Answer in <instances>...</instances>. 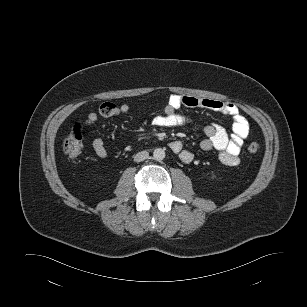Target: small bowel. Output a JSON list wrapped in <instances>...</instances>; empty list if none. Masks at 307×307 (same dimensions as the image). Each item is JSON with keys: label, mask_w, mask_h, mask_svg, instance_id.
<instances>
[{"label": "small bowel", "mask_w": 307, "mask_h": 307, "mask_svg": "<svg viewBox=\"0 0 307 307\" xmlns=\"http://www.w3.org/2000/svg\"><path fill=\"white\" fill-rule=\"evenodd\" d=\"M183 106L190 108L202 107L220 112L232 118L233 134L231 136H229L226 130L220 125H207L204 128L206 137L201 141L200 147L205 151L212 149L217 150L221 162L227 166L238 165L241 147L250 132L249 122L245 116L240 113L239 108L232 102L173 94L170 96L164 108V113L155 116L152 123L157 127H176L188 123L190 118L178 112ZM130 110L131 106L129 104L117 105L111 102L103 103L98 113L90 112L86 116L84 125H93L97 122L99 115L103 117H115L120 114H126L130 112ZM169 146L174 153L178 154L182 162L186 164L192 162L194 157L193 153L184 149L180 141H173ZM92 148L99 158L106 159L109 155L103 140L100 138L93 140Z\"/></svg>", "instance_id": "small-bowel-1"}]
</instances>
